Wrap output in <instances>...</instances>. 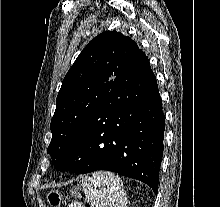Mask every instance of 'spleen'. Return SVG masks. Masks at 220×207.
Here are the masks:
<instances>
[{"label": "spleen", "instance_id": "1", "mask_svg": "<svg viewBox=\"0 0 220 207\" xmlns=\"http://www.w3.org/2000/svg\"><path fill=\"white\" fill-rule=\"evenodd\" d=\"M86 201L92 207H127L121 178L107 171H99L82 179ZM74 206L81 207L80 203ZM69 207H73V204Z\"/></svg>", "mask_w": 220, "mask_h": 207}]
</instances>
